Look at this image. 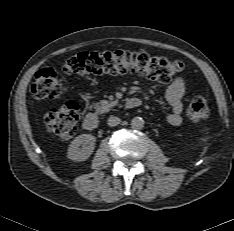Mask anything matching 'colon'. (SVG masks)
Masks as SVG:
<instances>
[{
  "instance_id": "colon-1",
  "label": "colon",
  "mask_w": 234,
  "mask_h": 231,
  "mask_svg": "<svg viewBox=\"0 0 234 231\" xmlns=\"http://www.w3.org/2000/svg\"><path fill=\"white\" fill-rule=\"evenodd\" d=\"M62 70L67 75H117L128 71L145 76L151 80L167 83L183 70V63L165 57L150 56L143 52L86 51L76 54L63 64ZM65 87L51 69L37 72L31 86L32 94L39 99L58 97ZM79 105L69 102L59 109H54L44 117L47 131L62 140L71 139L79 118ZM207 101L202 96H195L188 107V118L194 123L204 122L208 118Z\"/></svg>"
}]
</instances>
